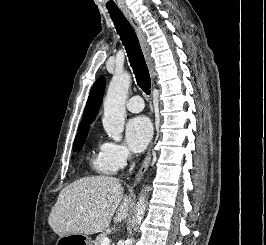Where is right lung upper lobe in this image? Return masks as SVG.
Instances as JSON below:
<instances>
[{
	"label": "right lung upper lobe",
	"mask_w": 266,
	"mask_h": 245,
	"mask_svg": "<svg viewBox=\"0 0 266 245\" xmlns=\"http://www.w3.org/2000/svg\"><path fill=\"white\" fill-rule=\"evenodd\" d=\"M105 85L106 81L103 77L98 78L94 83L86 103L82 121L79 126L91 124L95 120L103 98Z\"/></svg>",
	"instance_id": "cb5924a9"
}]
</instances>
